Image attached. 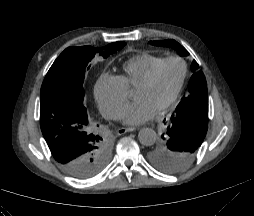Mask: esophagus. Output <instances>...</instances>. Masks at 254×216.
Instances as JSON below:
<instances>
[{
  "mask_svg": "<svg viewBox=\"0 0 254 216\" xmlns=\"http://www.w3.org/2000/svg\"><path fill=\"white\" fill-rule=\"evenodd\" d=\"M135 130H136V128H133V127H129V128H119V129L117 130V134H118V135H123V134H125V133L133 132V131H135Z\"/></svg>",
  "mask_w": 254,
  "mask_h": 216,
  "instance_id": "1",
  "label": "esophagus"
}]
</instances>
